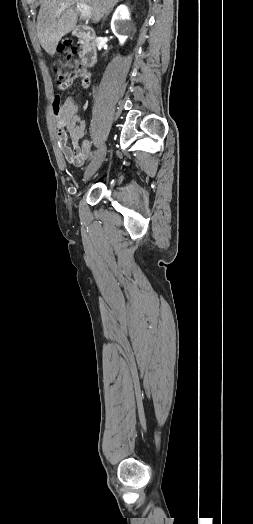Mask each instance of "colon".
Returning <instances> with one entry per match:
<instances>
[{"label":"colon","mask_w":253,"mask_h":524,"mask_svg":"<svg viewBox=\"0 0 253 524\" xmlns=\"http://www.w3.org/2000/svg\"><path fill=\"white\" fill-rule=\"evenodd\" d=\"M61 48L65 50L63 59L54 62L51 66L52 73L57 79L59 88L63 89L69 86L74 80L82 89L89 87L90 78L83 69V62L78 60V52L72 45V40L67 39ZM59 101L56 100L54 107L58 110Z\"/></svg>","instance_id":"1"}]
</instances>
